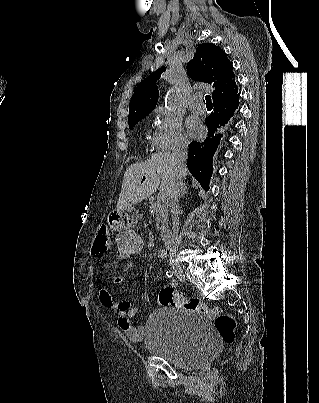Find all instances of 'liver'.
Wrapping results in <instances>:
<instances>
[{
    "mask_svg": "<svg viewBox=\"0 0 319 403\" xmlns=\"http://www.w3.org/2000/svg\"><path fill=\"white\" fill-rule=\"evenodd\" d=\"M187 174L184 165L180 168L175 165L170 152L156 153L146 162L130 165L124 173L117 210L131 208L158 188L169 196L176 175L186 178Z\"/></svg>",
    "mask_w": 319,
    "mask_h": 403,
    "instance_id": "liver-1",
    "label": "liver"
}]
</instances>
